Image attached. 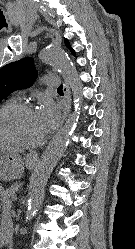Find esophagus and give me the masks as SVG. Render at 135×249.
Wrapping results in <instances>:
<instances>
[{"instance_id": "1", "label": "esophagus", "mask_w": 135, "mask_h": 249, "mask_svg": "<svg viewBox=\"0 0 135 249\" xmlns=\"http://www.w3.org/2000/svg\"><path fill=\"white\" fill-rule=\"evenodd\" d=\"M63 91H64V94H65L67 107H66V111H65L64 116H63L62 124L66 120V118H67V116H68V114L70 112V109H71V93H70L69 85H68V83L66 81L64 83Z\"/></svg>"}]
</instances>
